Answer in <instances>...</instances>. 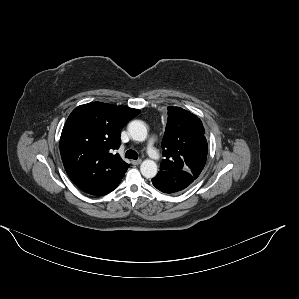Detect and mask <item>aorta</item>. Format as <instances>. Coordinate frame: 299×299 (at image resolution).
Masks as SVG:
<instances>
[{"mask_svg": "<svg viewBox=\"0 0 299 299\" xmlns=\"http://www.w3.org/2000/svg\"><path fill=\"white\" fill-rule=\"evenodd\" d=\"M128 132L131 138L138 142H143L147 138V128L143 121L134 120L128 125ZM157 164L150 159H146L140 166L141 174L146 178H153L157 174Z\"/></svg>", "mask_w": 299, "mask_h": 299, "instance_id": "1", "label": "aorta"}]
</instances>
